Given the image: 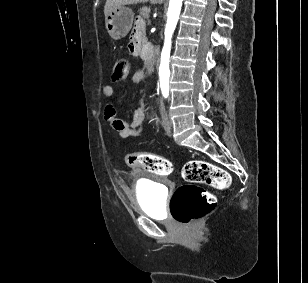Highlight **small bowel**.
<instances>
[{
    "label": "small bowel",
    "instance_id": "1",
    "mask_svg": "<svg viewBox=\"0 0 308 283\" xmlns=\"http://www.w3.org/2000/svg\"><path fill=\"white\" fill-rule=\"evenodd\" d=\"M145 36V23L143 19L137 18L132 29L129 42L127 45L128 52L133 56L141 54V48ZM145 78L144 71H137L133 75V82L139 83ZM103 94L109 99L105 109L104 118L110 123L111 127L119 134L121 138L139 136L144 129V122L147 111L144 107H138L129 119H121L118 117L116 107L114 105V88L111 85L103 87Z\"/></svg>",
    "mask_w": 308,
    "mask_h": 283
}]
</instances>
